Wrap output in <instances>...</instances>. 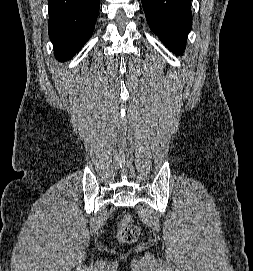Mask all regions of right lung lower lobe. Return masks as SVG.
<instances>
[{"label": "right lung lower lobe", "instance_id": "1", "mask_svg": "<svg viewBox=\"0 0 253 271\" xmlns=\"http://www.w3.org/2000/svg\"><path fill=\"white\" fill-rule=\"evenodd\" d=\"M100 0H48L49 37L59 61L72 58L91 37Z\"/></svg>", "mask_w": 253, "mask_h": 271}]
</instances>
